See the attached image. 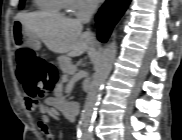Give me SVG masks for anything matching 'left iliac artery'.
I'll use <instances>...</instances> for the list:
<instances>
[{"label": "left iliac artery", "mask_w": 182, "mask_h": 140, "mask_svg": "<svg viewBox=\"0 0 182 140\" xmlns=\"http://www.w3.org/2000/svg\"><path fill=\"white\" fill-rule=\"evenodd\" d=\"M89 140H94V139L92 137H90Z\"/></svg>", "instance_id": "1"}]
</instances>
